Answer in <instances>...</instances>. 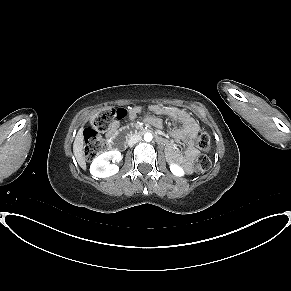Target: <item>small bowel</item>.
Returning <instances> with one entry per match:
<instances>
[{"mask_svg":"<svg viewBox=\"0 0 291 291\" xmlns=\"http://www.w3.org/2000/svg\"><path fill=\"white\" fill-rule=\"evenodd\" d=\"M127 115L130 119H134L142 111L141 107H134L131 109H126ZM149 111L156 115H164L169 117L171 120L180 123V127L174 129L171 135L179 140L184 141L186 144V150L184 155H181L176 147L171 143H166L168 157L174 161L181 163L184 170L189 172L191 169V163L196 159L198 155L197 149L194 147L193 140L199 131V125L196 120L185 110L178 108L160 107L153 105L149 108ZM124 117V118H125ZM123 119V118H122ZM146 122L155 126H161V120L155 116H148ZM121 126V119L115 120L108 133L107 138L111 142L114 140L117 132Z\"/></svg>","mask_w":291,"mask_h":291,"instance_id":"obj_1","label":"small bowel"}]
</instances>
